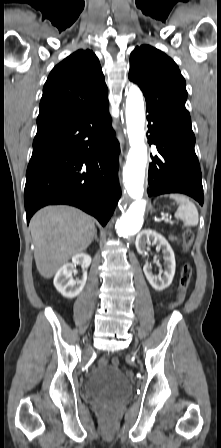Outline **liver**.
<instances>
[{
	"label": "liver",
	"mask_w": 221,
	"mask_h": 448,
	"mask_svg": "<svg viewBox=\"0 0 221 448\" xmlns=\"http://www.w3.org/2000/svg\"><path fill=\"white\" fill-rule=\"evenodd\" d=\"M30 230L35 246L37 270L51 278L71 257L82 253L94 239V220L69 206H47L31 219Z\"/></svg>",
	"instance_id": "6515ba94"
}]
</instances>
